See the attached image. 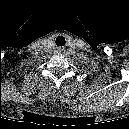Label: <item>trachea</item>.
<instances>
[{"label": "trachea", "mask_w": 129, "mask_h": 129, "mask_svg": "<svg viewBox=\"0 0 129 129\" xmlns=\"http://www.w3.org/2000/svg\"><path fill=\"white\" fill-rule=\"evenodd\" d=\"M65 44V38L63 36H58L56 39V45L63 46Z\"/></svg>", "instance_id": "trachea-1"}]
</instances>
